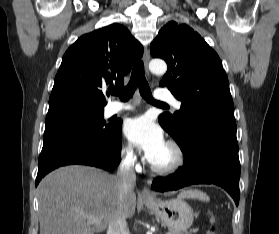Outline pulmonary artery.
I'll return each instance as SVG.
<instances>
[{"mask_svg":"<svg viewBox=\"0 0 279 234\" xmlns=\"http://www.w3.org/2000/svg\"><path fill=\"white\" fill-rule=\"evenodd\" d=\"M158 101H169L175 108H180L181 103L170 93H167L161 89H158L155 95ZM133 109V105L128 103L112 102L108 104L106 113L108 115H115L122 112H127Z\"/></svg>","mask_w":279,"mask_h":234,"instance_id":"e3ab8cb5","label":"pulmonary artery"}]
</instances>
